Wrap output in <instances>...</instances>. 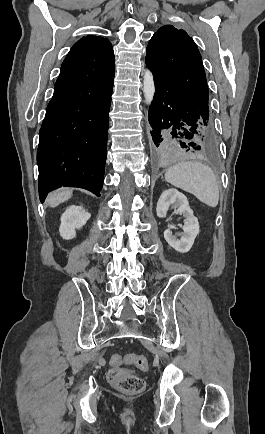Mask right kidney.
<instances>
[{"mask_svg": "<svg viewBox=\"0 0 265 434\" xmlns=\"http://www.w3.org/2000/svg\"><path fill=\"white\" fill-rule=\"evenodd\" d=\"M89 218H91V214L85 212L83 206H69L61 216L60 236L63 240H73L76 238V230L85 226Z\"/></svg>", "mask_w": 265, "mask_h": 434, "instance_id": "obj_1", "label": "right kidney"}]
</instances>
